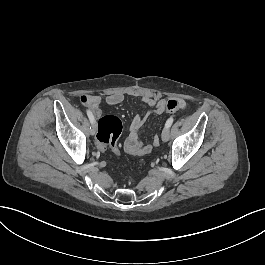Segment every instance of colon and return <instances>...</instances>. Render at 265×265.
<instances>
[{
    "instance_id": "1",
    "label": "colon",
    "mask_w": 265,
    "mask_h": 265,
    "mask_svg": "<svg viewBox=\"0 0 265 265\" xmlns=\"http://www.w3.org/2000/svg\"><path fill=\"white\" fill-rule=\"evenodd\" d=\"M178 102L171 97L166 100L164 108L165 114L171 115L172 112L182 111L179 108ZM123 126L119 117L115 115L101 116L98 121V129L96 134L97 148L101 151L106 150L108 147H114L119 142V137L122 133Z\"/></svg>"
}]
</instances>
